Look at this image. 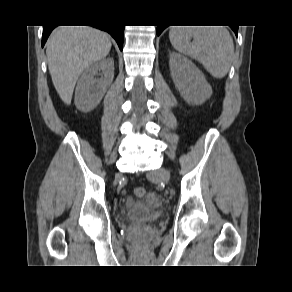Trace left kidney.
<instances>
[{
    "label": "left kidney",
    "instance_id": "obj_1",
    "mask_svg": "<svg viewBox=\"0 0 292 292\" xmlns=\"http://www.w3.org/2000/svg\"><path fill=\"white\" fill-rule=\"evenodd\" d=\"M171 77L181 96L187 103L200 105L212 95V88L202 72L186 57L170 53Z\"/></svg>",
    "mask_w": 292,
    "mask_h": 292
}]
</instances>
